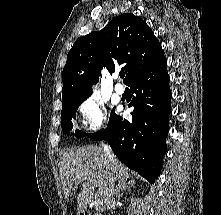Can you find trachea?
I'll use <instances>...</instances> for the list:
<instances>
[{"instance_id": "3493384b", "label": "trachea", "mask_w": 221, "mask_h": 215, "mask_svg": "<svg viewBox=\"0 0 221 215\" xmlns=\"http://www.w3.org/2000/svg\"><path fill=\"white\" fill-rule=\"evenodd\" d=\"M119 75H120L121 78H123L125 76V73L124 72H120Z\"/></svg>"}]
</instances>
